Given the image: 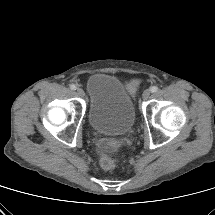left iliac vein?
<instances>
[{"label": "left iliac vein", "mask_w": 215, "mask_h": 215, "mask_svg": "<svg viewBox=\"0 0 215 215\" xmlns=\"http://www.w3.org/2000/svg\"><path fill=\"white\" fill-rule=\"evenodd\" d=\"M150 95H151V90H150V89H146V90L143 92L142 97H143L144 100H147V99L150 98Z\"/></svg>", "instance_id": "1"}]
</instances>
